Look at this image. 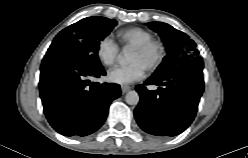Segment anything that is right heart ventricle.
<instances>
[{
    "instance_id": "obj_1",
    "label": "right heart ventricle",
    "mask_w": 248,
    "mask_h": 158,
    "mask_svg": "<svg viewBox=\"0 0 248 158\" xmlns=\"http://www.w3.org/2000/svg\"><path fill=\"white\" fill-rule=\"evenodd\" d=\"M116 39L119 40L121 45L125 47H131L141 44L143 42L149 41L152 39L150 32L139 27H130L122 29L116 32Z\"/></svg>"
}]
</instances>
